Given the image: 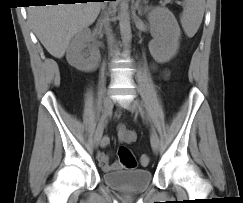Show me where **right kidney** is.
I'll return each mask as SVG.
<instances>
[{
	"label": "right kidney",
	"mask_w": 243,
	"mask_h": 203,
	"mask_svg": "<svg viewBox=\"0 0 243 203\" xmlns=\"http://www.w3.org/2000/svg\"><path fill=\"white\" fill-rule=\"evenodd\" d=\"M91 41V31L84 28L75 34L66 54L68 63L80 71L90 72L97 68L100 61L98 50L89 49Z\"/></svg>",
	"instance_id": "1"
}]
</instances>
